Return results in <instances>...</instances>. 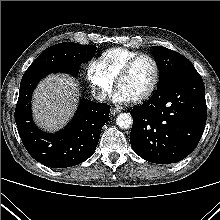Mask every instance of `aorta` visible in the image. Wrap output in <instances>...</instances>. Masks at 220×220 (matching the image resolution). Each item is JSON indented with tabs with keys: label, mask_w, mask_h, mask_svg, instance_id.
Listing matches in <instances>:
<instances>
[{
	"label": "aorta",
	"mask_w": 220,
	"mask_h": 220,
	"mask_svg": "<svg viewBox=\"0 0 220 220\" xmlns=\"http://www.w3.org/2000/svg\"><path fill=\"white\" fill-rule=\"evenodd\" d=\"M133 119L129 113H120L116 118V124L122 129H128L132 126Z\"/></svg>",
	"instance_id": "obj_1"
}]
</instances>
